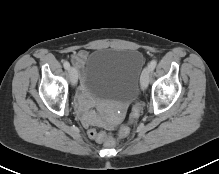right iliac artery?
Listing matches in <instances>:
<instances>
[{
  "label": "right iliac artery",
  "instance_id": "82829eb1",
  "mask_svg": "<svg viewBox=\"0 0 219 174\" xmlns=\"http://www.w3.org/2000/svg\"><path fill=\"white\" fill-rule=\"evenodd\" d=\"M63 66L66 70H68L70 68V64L68 61H64Z\"/></svg>",
  "mask_w": 219,
  "mask_h": 174
}]
</instances>
